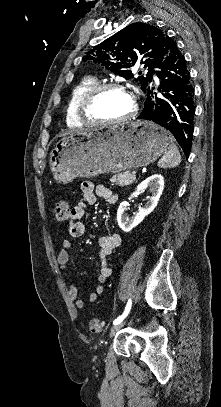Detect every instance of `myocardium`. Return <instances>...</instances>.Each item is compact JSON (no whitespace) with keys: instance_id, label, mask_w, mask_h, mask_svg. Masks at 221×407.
<instances>
[{"instance_id":"1","label":"myocardium","mask_w":221,"mask_h":407,"mask_svg":"<svg viewBox=\"0 0 221 407\" xmlns=\"http://www.w3.org/2000/svg\"><path fill=\"white\" fill-rule=\"evenodd\" d=\"M124 90L127 91L132 99H133V107L132 110L124 115L123 117L117 118V119H103L98 116H96L93 111L92 107L93 105L97 102V100L100 98V96L110 90ZM78 110L80 113V116L83 121L87 123H93V124H98V125H105V124H120L123 122H126L133 118L137 112H138V101L135 93L131 91L128 87L121 83H115V82H109V83H103V84H98L92 89H90L85 95H83L79 101L78 104Z\"/></svg>"}]
</instances>
